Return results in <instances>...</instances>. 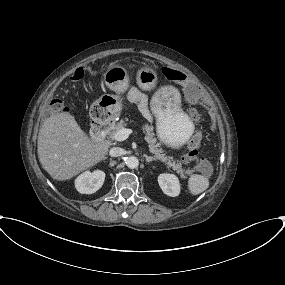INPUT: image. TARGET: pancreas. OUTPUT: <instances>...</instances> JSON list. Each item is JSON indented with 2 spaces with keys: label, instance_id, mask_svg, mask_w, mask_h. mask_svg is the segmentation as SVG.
I'll use <instances>...</instances> for the list:
<instances>
[{
  "label": "pancreas",
  "instance_id": "1",
  "mask_svg": "<svg viewBox=\"0 0 285 285\" xmlns=\"http://www.w3.org/2000/svg\"><path fill=\"white\" fill-rule=\"evenodd\" d=\"M127 121L128 118H125V120H120L117 124L112 123L107 129L108 137L114 139L116 132L127 126ZM142 130L145 133V140L149 144V150L154 154L155 159L161 160L167 165V167H171L174 171L180 174L181 178H186L184 174L189 175L191 173L190 169H183L181 163H176L172 157L165 155L161 148V143H158L155 138L152 126L146 124L142 127Z\"/></svg>",
  "mask_w": 285,
  "mask_h": 285
}]
</instances>
